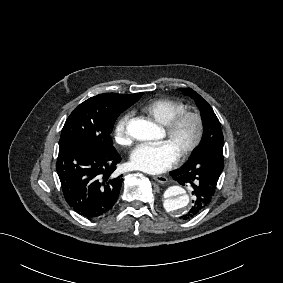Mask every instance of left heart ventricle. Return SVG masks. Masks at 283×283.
<instances>
[{
  "label": "left heart ventricle",
  "instance_id": "left-heart-ventricle-1",
  "mask_svg": "<svg viewBox=\"0 0 283 283\" xmlns=\"http://www.w3.org/2000/svg\"><path fill=\"white\" fill-rule=\"evenodd\" d=\"M194 134L195 123L192 119H187L183 122V124L174 135L168 136L165 131L162 138H166L180 155L182 150L190 143Z\"/></svg>",
  "mask_w": 283,
  "mask_h": 283
}]
</instances>
